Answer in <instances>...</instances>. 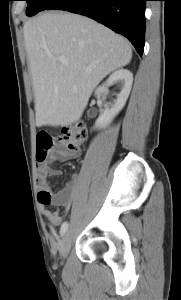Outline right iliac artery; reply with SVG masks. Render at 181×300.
I'll list each match as a JSON object with an SVG mask.
<instances>
[{
    "mask_svg": "<svg viewBox=\"0 0 181 300\" xmlns=\"http://www.w3.org/2000/svg\"><path fill=\"white\" fill-rule=\"evenodd\" d=\"M67 229H68V223H67V222H64V223L62 224L61 228H60V234H61V235H64L65 232L67 231Z\"/></svg>",
    "mask_w": 181,
    "mask_h": 300,
    "instance_id": "1",
    "label": "right iliac artery"
}]
</instances>
